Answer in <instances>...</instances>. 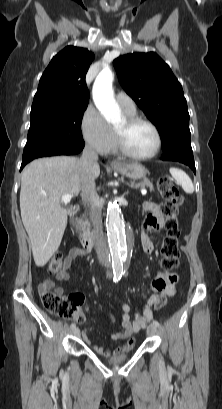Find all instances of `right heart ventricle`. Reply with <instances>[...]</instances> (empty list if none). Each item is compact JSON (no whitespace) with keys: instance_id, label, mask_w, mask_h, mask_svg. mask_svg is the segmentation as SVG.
<instances>
[{"instance_id":"e07e8e85","label":"right heart ventricle","mask_w":222,"mask_h":409,"mask_svg":"<svg viewBox=\"0 0 222 409\" xmlns=\"http://www.w3.org/2000/svg\"><path fill=\"white\" fill-rule=\"evenodd\" d=\"M123 111H124V110H123ZM124 113L126 114V116H135V111H134V112L124 111ZM113 150H115V143H114V145L112 146V148H111L110 151H113Z\"/></svg>"}]
</instances>
